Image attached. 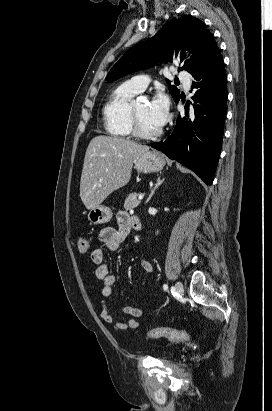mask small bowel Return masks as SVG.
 I'll use <instances>...</instances> for the list:
<instances>
[{"mask_svg": "<svg viewBox=\"0 0 272 411\" xmlns=\"http://www.w3.org/2000/svg\"><path fill=\"white\" fill-rule=\"evenodd\" d=\"M133 218H130L126 213H120L117 216L118 227H105L99 233V240L109 251H117L123 241L131 232L132 228H135L132 221ZM136 229V228H135ZM91 259L96 265V277L102 281L103 286L101 294L103 298H108L113 295L114 289L117 283L116 277L109 273L108 266L104 260V252L101 248L94 249L91 252ZM139 265L141 270L145 274H150L153 271L152 263L147 259H140ZM119 310L129 316L124 322L116 321L112 313L110 312L104 299L101 300V312L100 316L104 322L107 324L113 325L118 330H127V329H139L141 323L138 320L143 315V309L135 306H121Z\"/></svg>", "mask_w": 272, "mask_h": 411, "instance_id": "1", "label": "small bowel"}]
</instances>
